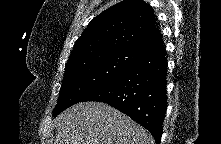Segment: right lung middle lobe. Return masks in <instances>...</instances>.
<instances>
[{
  "label": "right lung middle lobe",
  "mask_w": 221,
  "mask_h": 144,
  "mask_svg": "<svg viewBox=\"0 0 221 144\" xmlns=\"http://www.w3.org/2000/svg\"><path fill=\"white\" fill-rule=\"evenodd\" d=\"M140 58V55L131 52L110 50L94 53L66 64L53 116L83 101L91 93L116 79Z\"/></svg>",
  "instance_id": "1"
}]
</instances>
